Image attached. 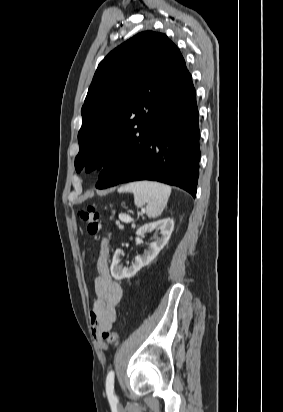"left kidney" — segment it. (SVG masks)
Masks as SVG:
<instances>
[{"label":"left kidney","mask_w":283,"mask_h":412,"mask_svg":"<svg viewBox=\"0 0 283 412\" xmlns=\"http://www.w3.org/2000/svg\"><path fill=\"white\" fill-rule=\"evenodd\" d=\"M173 229L174 221L170 218L145 224L144 226L140 227L137 230L136 235L141 236L153 230H160L161 238H159L155 243L151 244L149 250L146 251L144 255L137 256L134 263H132V265L127 268L120 265V256L122 254V250L117 249L114 253L110 267L113 278H115L116 280L130 278L134 276L142 267L147 266L149 263H151L168 243Z\"/></svg>","instance_id":"5707ae66"}]
</instances>
